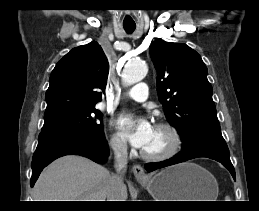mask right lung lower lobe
Listing matches in <instances>:
<instances>
[{"mask_svg": "<svg viewBox=\"0 0 259 211\" xmlns=\"http://www.w3.org/2000/svg\"><path fill=\"white\" fill-rule=\"evenodd\" d=\"M70 154L84 156L97 163L106 162L109 147L104 132L100 134L75 131L40 133L32 158L31 187L34 186L44 167L55 159Z\"/></svg>", "mask_w": 259, "mask_h": 211, "instance_id": "1", "label": "right lung lower lobe"}]
</instances>
